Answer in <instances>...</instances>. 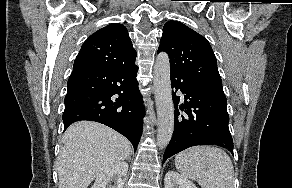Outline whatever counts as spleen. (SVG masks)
Listing matches in <instances>:
<instances>
[{"mask_svg": "<svg viewBox=\"0 0 292 188\" xmlns=\"http://www.w3.org/2000/svg\"><path fill=\"white\" fill-rule=\"evenodd\" d=\"M177 170L201 188H233L234 167L225 151L213 146H194L175 156Z\"/></svg>", "mask_w": 292, "mask_h": 188, "instance_id": "obj_1", "label": "spleen"}]
</instances>
